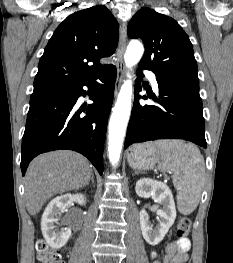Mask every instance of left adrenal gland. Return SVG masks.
<instances>
[{"label":"left adrenal gland","mask_w":233,"mask_h":263,"mask_svg":"<svg viewBox=\"0 0 233 263\" xmlns=\"http://www.w3.org/2000/svg\"><path fill=\"white\" fill-rule=\"evenodd\" d=\"M140 172L139 171H135L134 173H133V175H137V174H139Z\"/></svg>","instance_id":"left-adrenal-gland-1"}]
</instances>
